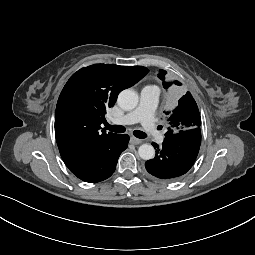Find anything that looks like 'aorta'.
I'll use <instances>...</instances> for the list:
<instances>
[{"label": "aorta", "instance_id": "aorta-1", "mask_svg": "<svg viewBox=\"0 0 255 255\" xmlns=\"http://www.w3.org/2000/svg\"><path fill=\"white\" fill-rule=\"evenodd\" d=\"M139 98L136 91L133 89H125L118 95V104L124 110H133L138 104ZM139 156L144 160L153 159L155 156V149L151 144H142L138 148Z\"/></svg>", "mask_w": 255, "mask_h": 255}]
</instances>
